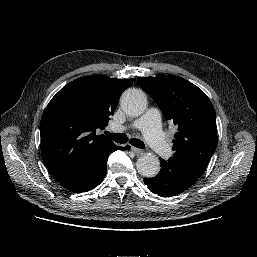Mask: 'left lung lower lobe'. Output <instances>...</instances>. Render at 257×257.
<instances>
[{"mask_svg":"<svg viewBox=\"0 0 257 257\" xmlns=\"http://www.w3.org/2000/svg\"><path fill=\"white\" fill-rule=\"evenodd\" d=\"M161 161V170L153 178H144L151 192L162 197H171L192 186L201 176L203 169L181 157L173 156Z\"/></svg>","mask_w":257,"mask_h":257,"instance_id":"obj_1","label":"left lung lower lobe"}]
</instances>
